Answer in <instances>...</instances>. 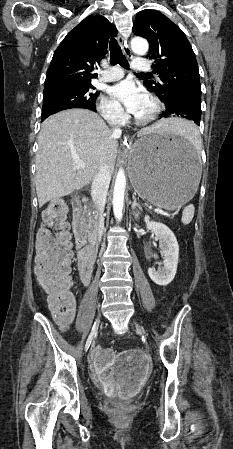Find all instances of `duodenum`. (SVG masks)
<instances>
[{"label":"duodenum","instance_id":"410a0bca","mask_svg":"<svg viewBox=\"0 0 233 449\" xmlns=\"http://www.w3.org/2000/svg\"><path fill=\"white\" fill-rule=\"evenodd\" d=\"M74 231L76 235V243L79 248L78 253V269L80 272L93 271L97 258V240L92 235L87 224V218L82 209L80 199L74 200L73 213Z\"/></svg>","mask_w":233,"mask_h":449}]
</instances>
